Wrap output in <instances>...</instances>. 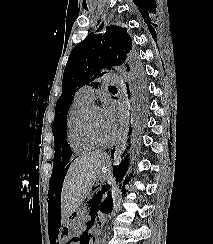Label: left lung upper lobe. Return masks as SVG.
I'll return each mask as SVG.
<instances>
[{"instance_id":"5c2ea615","label":"left lung upper lobe","mask_w":213,"mask_h":244,"mask_svg":"<svg viewBox=\"0 0 213 244\" xmlns=\"http://www.w3.org/2000/svg\"><path fill=\"white\" fill-rule=\"evenodd\" d=\"M116 67L124 68L127 73V91L132 97L133 106L146 108L145 78L132 51L130 35L123 27L111 25L103 29L100 26L78 43L69 55L63 74L62 95L57 100L52 125L54 139L60 136L66 139L67 113L76 91Z\"/></svg>"}]
</instances>
